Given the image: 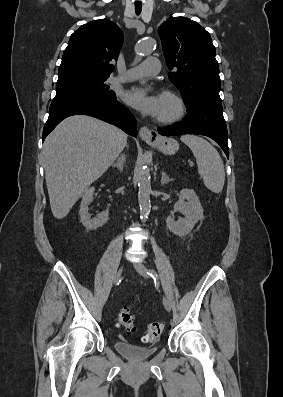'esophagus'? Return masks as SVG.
<instances>
[{"label": "esophagus", "mask_w": 283, "mask_h": 397, "mask_svg": "<svg viewBox=\"0 0 283 397\" xmlns=\"http://www.w3.org/2000/svg\"><path fill=\"white\" fill-rule=\"evenodd\" d=\"M139 135L144 141L148 143L156 142L159 138L157 131L150 130L146 126L140 128Z\"/></svg>", "instance_id": "esophagus-1"}]
</instances>
